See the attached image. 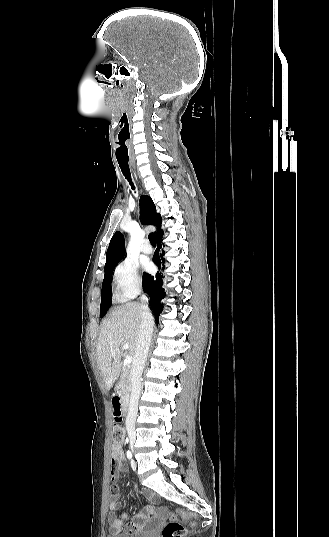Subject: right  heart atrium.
Returning a JSON list of instances; mask_svg holds the SVG:
<instances>
[{"mask_svg": "<svg viewBox=\"0 0 329 537\" xmlns=\"http://www.w3.org/2000/svg\"><path fill=\"white\" fill-rule=\"evenodd\" d=\"M112 279L115 295L119 300H128L135 297L142 287L138 265L129 258L121 260L116 265Z\"/></svg>", "mask_w": 329, "mask_h": 537, "instance_id": "obj_1", "label": "right heart atrium"}]
</instances>
